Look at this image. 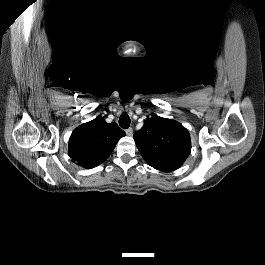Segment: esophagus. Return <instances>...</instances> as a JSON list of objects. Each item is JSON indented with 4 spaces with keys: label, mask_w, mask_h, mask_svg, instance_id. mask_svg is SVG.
I'll use <instances>...</instances> for the list:
<instances>
[{
    "label": "esophagus",
    "mask_w": 265,
    "mask_h": 265,
    "mask_svg": "<svg viewBox=\"0 0 265 265\" xmlns=\"http://www.w3.org/2000/svg\"><path fill=\"white\" fill-rule=\"evenodd\" d=\"M126 134L128 135V136H132V134H133V129L130 127V128H128V129H126Z\"/></svg>",
    "instance_id": "1"
}]
</instances>
